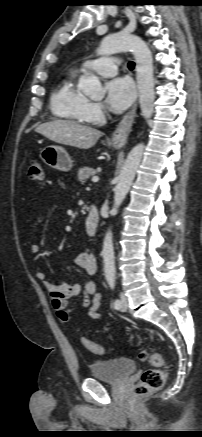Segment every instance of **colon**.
Returning <instances> with one entry per match:
<instances>
[{"label": "colon", "mask_w": 202, "mask_h": 437, "mask_svg": "<svg viewBox=\"0 0 202 437\" xmlns=\"http://www.w3.org/2000/svg\"><path fill=\"white\" fill-rule=\"evenodd\" d=\"M29 175L33 180H42L44 178L43 165L38 160H33L29 166ZM83 346L94 354H103L105 349L102 345L91 341L86 337L81 338ZM142 361H147L153 368L143 372L140 380L134 387L133 394L135 397H143L160 390L166 379V362L164 357L158 352L148 353L142 351L139 354Z\"/></svg>", "instance_id": "obj_1"}]
</instances>
